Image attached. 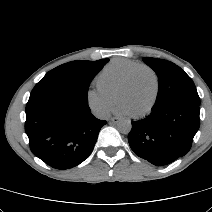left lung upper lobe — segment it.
I'll return each mask as SVG.
<instances>
[{"label": "left lung upper lobe", "instance_id": "left-lung-upper-lobe-1", "mask_svg": "<svg viewBox=\"0 0 212 212\" xmlns=\"http://www.w3.org/2000/svg\"><path fill=\"white\" fill-rule=\"evenodd\" d=\"M143 61L158 75L159 89L156 105L175 100L200 105L195 84L179 66L167 60L150 57H144Z\"/></svg>", "mask_w": 212, "mask_h": 212}]
</instances>
